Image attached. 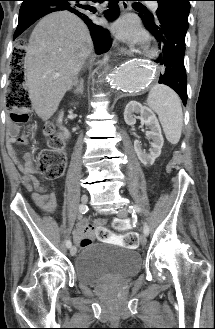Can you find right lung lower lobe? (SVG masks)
Instances as JSON below:
<instances>
[{"mask_svg":"<svg viewBox=\"0 0 215 329\" xmlns=\"http://www.w3.org/2000/svg\"><path fill=\"white\" fill-rule=\"evenodd\" d=\"M23 3L19 12V21L17 29L14 33L13 39L17 38L29 26L36 22L39 18L55 11L67 10L78 17L88 26L91 38L94 43L95 51L97 54L105 53L111 47V37L107 29L98 25L90 12L94 9L89 5H82L81 1L92 0H22ZM108 1V9L103 13L108 21L115 20L119 14L120 9L118 2L120 0H98ZM14 74L20 70V65L14 62ZM14 79V78H13Z\"/></svg>","mask_w":215,"mask_h":329,"instance_id":"right-lung-lower-lobe-1","label":"right lung lower lobe"}]
</instances>
